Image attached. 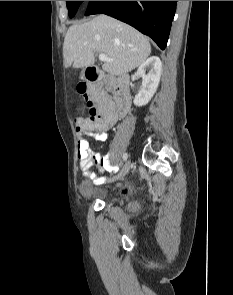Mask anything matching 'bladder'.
Here are the masks:
<instances>
[{
  "label": "bladder",
  "instance_id": "31cf9c89",
  "mask_svg": "<svg viewBox=\"0 0 233 295\" xmlns=\"http://www.w3.org/2000/svg\"><path fill=\"white\" fill-rule=\"evenodd\" d=\"M78 191L83 198L90 199L101 195V192L95 188V185L88 180L81 181L78 185Z\"/></svg>",
  "mask_w": 233,
  "mask_h": 295
}]
</instances>
